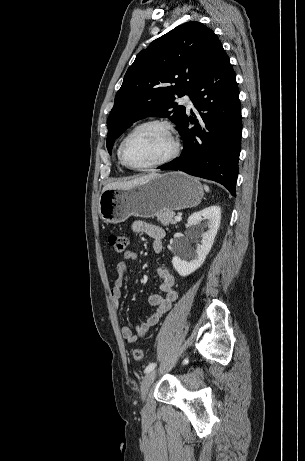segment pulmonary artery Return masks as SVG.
I'll return each instance as SVG.
<instances>
[{"label": "pulmonary artery", "mask_w": 305, "mask_h": 461, "mask_svg": "<svg viewBox=\"0 0 305 461\" xmlns=\"http://www.w3.org/2000/svg\"><path fill=\"white\" fill-rule=\"evenodd\" d=\"M183 103H185L188 107L192 108L193 107V102L190 98L189 95H185L182 99Z\"/></svg>", "instance_id": "e3ab8cb5"}]
</instances>
